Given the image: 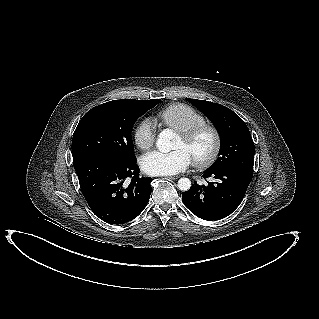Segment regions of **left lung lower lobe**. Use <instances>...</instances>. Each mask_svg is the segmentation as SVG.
<instances>
[{"instance_id":"1","label":"left lung lower lobe","mask_w":319,"mask_h":319,"mask_svg":"<svg viewBox=\"0 0 319 319\" xmlns=\"http://www.w3.org/2000/svg\"><path fill=\"white\" fill-rule=\"evenodd\" d=\"M203 177L214 181L206 185L194 182L188 191L183 192V203L201 219L219 220L233 213L240 205L253 174L231 167L207 169Z\"/></svg>"}]
</instances>
